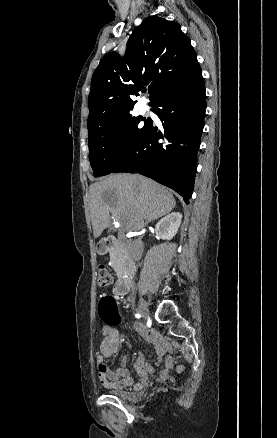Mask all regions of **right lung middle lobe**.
<instances>
[{
	"label": "right lung middle lobe",
	"instance_id": "right-lung-middle-lobe-1",
	"mask_svg": "<svg viewBox=\"0 0 277 438\" xmlns=\"http://www.w3.org/2000/svg\"><path fill=\"white\" fill-rule=\"evenodd\" d=\"M149 123L150 118L129 114L89 126V160L94 175L113 173L138 144Z\"/></svg>",
	"mask_w": 277,
	"mask_h": 438
}]
</instances>
